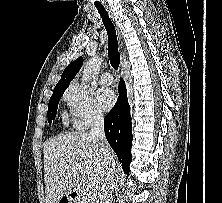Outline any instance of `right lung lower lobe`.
I'll list each match as a JSON object with an SVG mask.
<instances>
[{
    "label": "right lung lower lobe",
    "mask_w": 222,
    "mask_h": 203,
    "mask_svg": "<svg viewBox=\"0 0 222 203\" xmlns=\"http://www.w3.org/2000/svg\"><path fill=\"white\" fill-rule=\"evenodd\" d=\"M120 96L106 115L104 128L108 143L122 163V169L129 175V165L131 162L132 128L130 106L127 100L126 88L123 80L119 84Z\"/></svg>",
    "instance_id": "obj_1"
}]
</instances>
